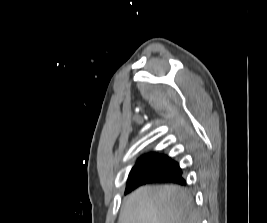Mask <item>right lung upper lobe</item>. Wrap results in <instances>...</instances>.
<instances>
[{
	"label": "right lung upper lobe",
	"instance_id": "right-lung-upper-lobe-1",
	"mask_svg": "<svg viewBox=\"0 0 267 223\" xmlns=\"http://www.w3.org/2000/svg\"><path fill=\"white\" fill-rule=\"evenodd\" d=\"M155 156H157L156 153H149V154L144 155L143 157H141V158L138 160L137 163H141V162L147 161V160H149V159H151V158H153V157H155Z\"/></svg>",
	"mask_w": 267,
	"mask_h": 223
}]
</instances>
